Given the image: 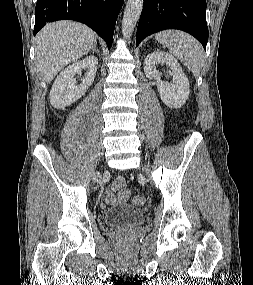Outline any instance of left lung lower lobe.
<instances>
[{
	"label": "left lung lower lobe",
	"instance_id": "0a47b994",
	"mask_svg": "<svg viewBox=\"0 0 253 285\" xmlns=\"http://www.w3.org/2000/svg\"><path fill=\"white\" fill-rule=\"evenodd\" d=\"M206 0H144L137 27L136 46L147 36L165 29L185 31L206 50Z\"/></svg>",
	"mask_w": 253,
	"mask_h": 285
}]
</instances>
